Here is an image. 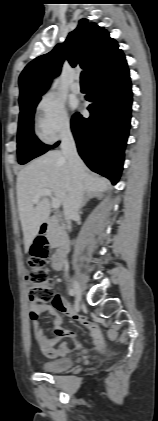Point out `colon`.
<instances>
[{
	"label": "colon",
	"mask_w": 158,
	"mask_h": 421,
	"mask_svg": "<svg viewBox=\"0 0 158 421\" xmlns=\"http://www.w3.org/2000/svg\"><path fill=\"white\" fill-rule=\"evenodd\" d=\"M49 247L45 238L39 237L31 247V257L28 261L29 269L26 272L28 285V299L31 306L44 305L54 299V281L45 268V259ZM32 320L38 315L31 312Z\"/></svg>",
	"instance_id": "colon-1"
}]
</instances>
